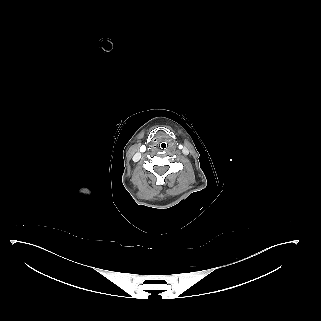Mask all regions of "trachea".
Here are the masks:
<instances>
[{
	"label": "trachea",
	"mask_w": 321,
	"mask_h": 321,
	"mask_svg": "<svg viewBox=\"0 0 321 321\" xmlns=\"http://www.w3.org/2000/svg\"><path fill=\"white\" fill-rule=\"evenodd\" d=\"M160 149L161 150H166L167 149V144L166 143H161L160 144Z\"/></svg>",
	"instance_id": "1"
}]
</instances>
